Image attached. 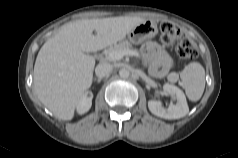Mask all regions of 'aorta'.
Listing matches in <instances>:
<instances>
[{"mask_svg":"<svg viewBox=\"0 0 238 158\" xmlns=\"http://www.w3.org/2000/svg\"><path fill=\"white\" fill-rule=\"evenodd\" d=\"M119 75H120V77L121 78H128L129 76H130V72H129V70L128 69H126V68H122V69H120V71H119Z\"/></svg>","mask_w":238,"mask_h":158,"instance_id":"762f6f07","label":"aorta"}]
</instances>
